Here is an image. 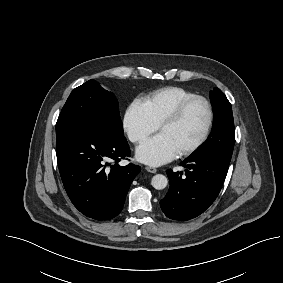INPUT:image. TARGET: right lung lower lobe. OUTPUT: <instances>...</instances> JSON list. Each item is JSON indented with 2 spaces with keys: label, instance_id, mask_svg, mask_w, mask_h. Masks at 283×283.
I'll return each instance as SVG.
<instances>
[{
  "label": "right lung lower lobe",
  "instance_id": "right-lung-lower-lobe-1",
  "mask_svg": "<svg viewBox=\"0 0 283 283\" xmlns=\"http://www.w3.org/2000/svg\"><path fill=\"white\" fill-rule=\"evenodd\" d=\"M58 168L74 206L87 217L108 220L123 208L129 187L140 172L132 163L124 136L100 122H86L56 137Z\"/></svg>",
  "mask_w": 283,
  "mask_h": 283
}]
</instances>
